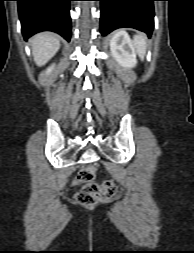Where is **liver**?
<instances>
[{
  "instance_id": "1",
  "label": "liver",
  "mask_w": 194,
  "mask_h": 253,
  "mask_svg": "<svg viewBox=\"0 0 194 253\" xmlns=\"http://www.w3.org/2000/svg\"><path fill=\"white\" fill-rule=\"evenodd\" d=\"M32 54L37 66L45 65L59 50L60 41L57 35L43 32L30 40Z\"/></svg>"
}]
</instances>
